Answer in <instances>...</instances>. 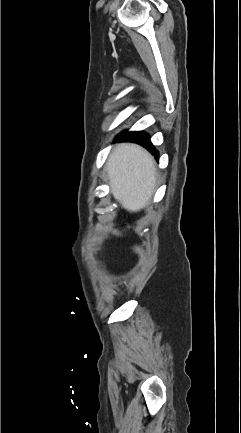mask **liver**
<instances>
[{
  "label": "liver",
  "mask_w": 241,
  "mask_h": 433,
  "mask_svg": "<svg viewBox=\"0 0 241 433\" xmlns=\"http://www.w3.org/2000/svg\"><path fill=\"white\" fill-rule=\"evenodd\" d=\"M106 170L111 193L131 212L144 209L154 193L157 173L154 158L136 144H119L110 154Z\"/></svg>",
  "instance_id": "obj_1"
}]
</instances>
